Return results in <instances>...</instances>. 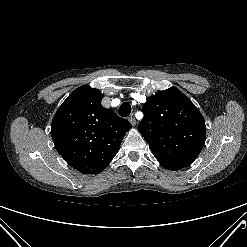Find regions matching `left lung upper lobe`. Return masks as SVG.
Returning a JSON list of instances; mask_svg holds the SVG:
<instances>
[{
	"label": "left lung upper lobe",
	"mask_w": 247,
	"mask_h": 247,
	"mask_svg": "<svg viewBox=\"0 0 247 247\" xmlns=\"http://www.w3.org/2000/svg\"><path fill=\"white\" fill-rule=\"evenodd\" d=\"M138 125L161 165L184 168L199 155L205 143V121L179 89L171 87L149 97Z\"/></svg>",
	"instance_id": "obj_1"
}]
</instances>
